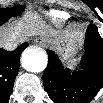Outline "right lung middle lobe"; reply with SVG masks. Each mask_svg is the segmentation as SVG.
<instances>
[{
    "label": "right lung middle lobe",
    "instance_id": "dd1d6c3e",
    "mask_svg": "<svg viewBox=\"0 0 103 103\" xmlns=\"http://www.w3.org/2000/svg\"><path fill=\"white\" fill-rule=\"evenodd\" d=\"M24 10V6L19 5L13 8H0V20H8L10 17L19 15Z\"/></svg>",
    "mask_w": 103,
    "mask_h": 103
}]
</instances>
